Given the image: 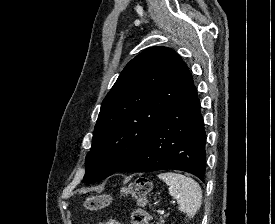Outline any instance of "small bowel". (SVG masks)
I'll return each mask as SVG.
<instances>
[{
  "instance_id": "obj_1",
  "label": "small bowel",
  "mask_w": 275,
  "mask_h": 224,
  "mask_svg": "<svg viewBox=\"0 0 275 224\" xmlns=\"http://www.w3.org/2000/svg\"><path fill=\"white\" fill-rule=\"evenodd\" d=\"M106 224H120V223H118V222L115 221V220H111V221L107 222Z\"/></svg>"
}]
</instances>
